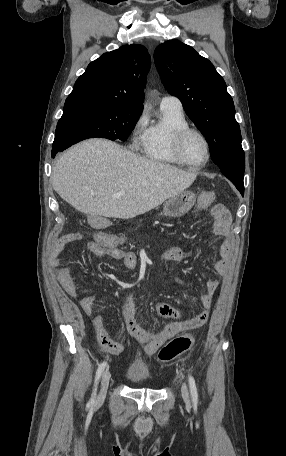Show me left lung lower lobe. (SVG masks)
Segmentation results:
<instances>
[{"mask_svg":"<svg viewBox=\"0 0 286 456\" xmlns=\"http://www.w3.org/2000/svg\"><path fill=\"white\" fill-rule=\"evenodd\" d=\"M222 173L236 186L242 196L244 195L243 174L237 170H223Z\"/></svg>","mask_w":286,"mask_h":456,"instance_id":"obj_1","label":"left lung lower lobe"}]
</instances>
